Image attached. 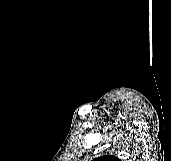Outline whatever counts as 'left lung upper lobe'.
Returning <instances> with one entry per match:
<instances>
[{
    "label": "left lung upper lobe",
    "mask_w": 171,
    "mask_h": 161,
    "mask_svg": "<svg viewBox=\"0 0 171 161\" xmlns=\"http://www.w3.org/2000/svg\"><path fill=\"white\" fill-rule=\"evenodd\" d=\"M93 161H121V160L113 155H105L102 157H98L94 159Z\"/></svg>",
    "instance_id": "5c2ea615"
}]
</instances>
